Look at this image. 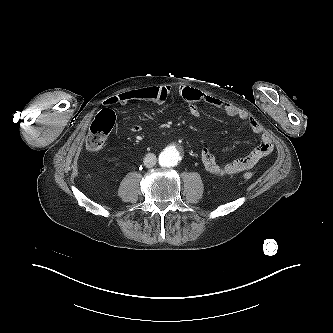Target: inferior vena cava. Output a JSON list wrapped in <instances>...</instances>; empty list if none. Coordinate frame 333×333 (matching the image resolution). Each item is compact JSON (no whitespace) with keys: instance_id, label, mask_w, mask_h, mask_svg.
<instances>
[{"instance_id":"obj_1","label":"inferior vena cava","mask_w":333,"mask_h":333,"mask_svg":"<svg viewBox=\"0 0 333 333\" xmlns=\"http://www.w3.org/2000/svg\"><path fill=\"white\" fill-rule=\"evenodd\" d=\"M156 161H157L156 155L153 153H148L143 159L144 165L147 168H152L153 166H155Z\"/></svg>"}]
</instances>
